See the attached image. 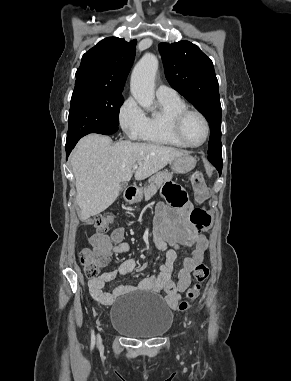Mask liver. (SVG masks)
I'll return each instance as SVG.
<instances>
[{
  "label": "liver",
  "mask_w": 291,
  "mask_h": 381,
  "mask_svg": "<svg viewBox=\"0 0 291 381\" xmlns=\"http://www.w3.org/2000/svg\"><path fill=\"white\" fill-rule=\"evenodd\" d=\"M186 151L151 144L119 141L112 145L110 137L89 134L83 137L71 154L76 179V201L80 219L86 221L100 214L117 199L121 182L144 180L164 168Z\"/></svg>",
  "instance_id": "obj_1"
}]
</instances>
